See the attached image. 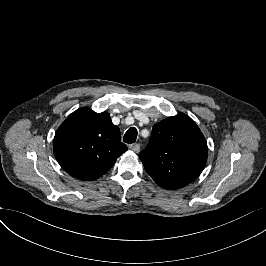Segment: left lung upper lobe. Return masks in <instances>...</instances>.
Instances as JSON below:
<instances>
[{
	"label": "left lung upper lobe",
	"instance_id": "left-lung-upper-lobe-1",
	"mask_svg": "<svg viewBox=\"0 0 266 266\" xmlns=\"http://www.w3.org/2000/svg\"><path fill=\"white\" fill-rule=\"evenodd\" d=\"M206 140L196 123L180 113L155 124L147 148L139 154L146 172L165 189L182 188L203 171Z\"/></svg>",
	"mask_w": 266,
	"mask_h": 266
}]
</instances>
